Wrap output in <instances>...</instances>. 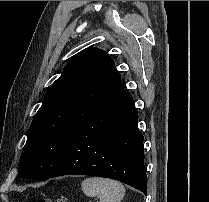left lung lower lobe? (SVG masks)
<instances>
[{
  "label": "left lung lower lobe",
  "mask_w": 209,
  "mask_h": 202,
  "mask_svg": "<svg viewBox=\"0 0 209 202\" xmlns=\"http://www.w3.org/2000/svg\"><path fill=\"white\" fill-rule=\"evenodd\" d=\"M129 92H123L94 112L70 143L51 177L94 175L119 180L144 194L143 135Z\"/></svg>",
  "instance_id": "obj_1"
}]
</instances>
